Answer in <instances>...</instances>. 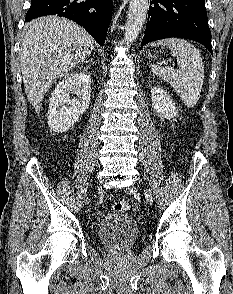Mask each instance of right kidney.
<instances>
[{
	"instance_id": "ca27d5eb",
	"label": "right kidney",
	"mask_w": 233,
	"mask_h": 294,
	"mask_svg": "<svg viewBox=\"0 0 233 294\" xmlns=\"http://www.w3.org/2000/svg\"><path fill=\"white\" fill-rule=\"evenodd\" d=\"M91 77L84 72L67 75L54 89L49 99L48 125L54 132H66L89 107ZM74 93L77 98L70 99ZM70 105V107H67Z\"/></svg>"
}]
</instances>
